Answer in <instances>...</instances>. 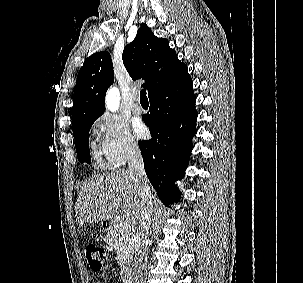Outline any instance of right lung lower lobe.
<instances>
[{"label":"right lung lower lobe","mask_w":303,"mask_h":283,"mask_svg":"<svg viewBox=\"0 0 303 283\" xmlns=\"http://www.w3.org/2000/svg\"><path fill=\"white\" fill-rule=\"evenodd\" d=\"M145 119L152 138L139 141L148 179L160 200L169 205L181 198L175 185L185 175L196 134V97L187 73L149 98Z\"/></svg>","instance_id":"obj_1"}]
</instances>
